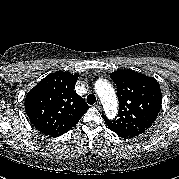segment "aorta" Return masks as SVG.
Returning a JSON list of instances; mask_svg holds the SVG:
<instances>
[{"label":"aorta","mask_w":179,"mask_h":179,"mask_svg":"<svg viewBox=\"0 0 179 179\" xmlns=\"http://www.w3.org/2000/svg\"><path fill=\"white\" fill-rule=\"evenodd\" d=\"M95 90L103 105L108 118H115L118 112V101L111 84L104 79H98L95 83Z\"/></svg>","instance_id":"aorta-1"}]
</instances>
